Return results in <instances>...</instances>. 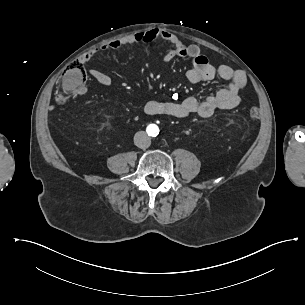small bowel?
I'll return each mask as SVG.
<instances>
[{
  "label": "small bowel",
  "mask_w": 305,
  "mask_h": 305,
  "mask_svg": "<svg viewBox=\"0 0 305 305\" xmlns=\"http://www.w3.org/2000/svg\"><path fill=\"white\" fill-rule=\"evenodd\" d=\"M155 40L162 41L168 47V51L163 56V62L168 63L176 57L187 58L192 61V67L186 73V78L189 82L199 83L219 78L228 84L225 88L202 100L195 97L170 101L150 100L144 106L145 113L149 115H168L177 118H187L192 114H196L207 118L218 110H230L240 104V92L247 84L246 75L242 71H235L227 65L213 64L202 53L199 46L185 44L169 32L153 29L115 39L85 52L79 60L81 63H88L99 52L118 50L139 43H151ZM88 73L102 86L108 87L112 83L111 77L102 71L90 69ZM85 91V87L79 90L80 93Z\"/></svg>",
  "instance_id": "1"
}]
</instances>
